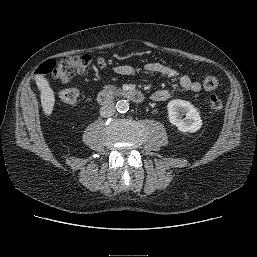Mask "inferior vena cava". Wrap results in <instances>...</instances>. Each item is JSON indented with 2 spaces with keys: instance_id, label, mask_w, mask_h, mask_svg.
<instances>
[{
  "instance_id": "602c4592",
  "label": "inferior vena cava",
  "mask_w": 257,
  "mask_h": 257,
  "mask_svg": "<svg viewBox=\"0 0 257 257\" xmlns=\"http://www.w3.org/2000/svg\"><path fill=\"white\" fill-rule=\"evenodd\" d=\"M114 103H107L100 108V114L102 117H111L115 114Z\"/></svg>"
}]
</instances>
